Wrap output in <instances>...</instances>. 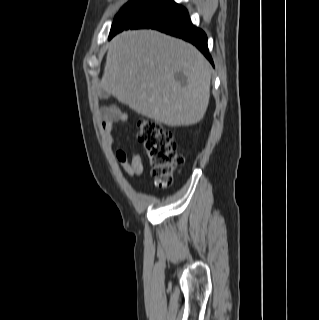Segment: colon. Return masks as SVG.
I'll return each mask as SVG.
<instances>
[{
	"label": "colon",
	"instance_id": "5ec220e1",
	"mask_svg": "<svg viewBox=\"0 0 319 320\" xmlns=\"http://www.w3.org/2000/svg\"><path fill=\"white\" fill-rule=\"evenodd\" d=\"M136 134L151 165L155 182L161 187L168 186L175 169L182 164L172 133L153 120L142 119L136 125Z\"/></svg>",
	"mask_w": 319,
	"mask_h": 320
}]
</instances>
